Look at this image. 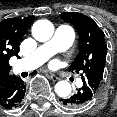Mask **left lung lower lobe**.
Returning a JSON list of instances; mask_svg holds the SVG:
<instances>
[{"instance_id":"obj_1","label":"left lung lower lobe","mask_w":117,"mask_h":117,"mask_svg":"<svg viewBox=\"0 0 117 117\" xmlns=\"http://www.w3.org/2000/svg\"><path fill=\"white\" fill-rule=\"evenodd\" d=\"M95 95L96 93H94L88 85L83 84V87L80 88L74 95L59 100L68 108H79L89 104Z\"/></svg>"}]
</instances>
